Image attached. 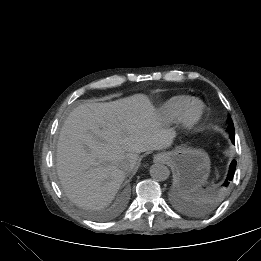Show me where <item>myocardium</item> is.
<instances>
[{
	"label": "myocardium",
	"instance_id": "f54148a6",
	"mask_svg": "<svg viewBox=\"0 0 261 261\" xmlns=\"http://www.w3.org/2000/svg\"><path fill=\"white\" fill-rule=\"evenodd\" d=\"M205 112V105L200 100H193L180 116L181 126L186 129H192L202 118Z\"/></svg>",
	"mask_w": 261,
	"mask_h": 261
}]
</instances>
